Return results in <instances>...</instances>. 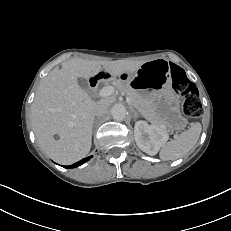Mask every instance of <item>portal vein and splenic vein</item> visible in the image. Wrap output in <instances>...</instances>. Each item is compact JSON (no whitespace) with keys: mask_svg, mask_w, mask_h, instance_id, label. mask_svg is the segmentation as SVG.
Segmentation results:
<instances>
[{"mask_svg":"<svg viewBox=\"0 0 231 231\" xmlns=\"http://www.w3.org/2000/svg\"><path fill=\"white\" fill-rule=\"evenodd\" d=\"M115 92V89L114 87L112 86H106V87H103L100 92H99V96L100 97H107V96H110L112 95L113 93ZM126 101L128 103L131 102V99L129 97L126 98Z\"/></svg>","mask_w":231,"mask_h":231,"instance_id":"portal-vein-and-splenic-vein-1","label":"portal vein and splenic vein"}]
</instances>
